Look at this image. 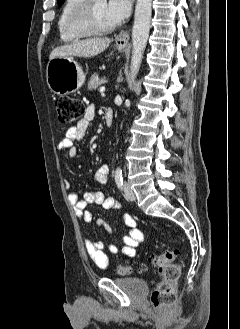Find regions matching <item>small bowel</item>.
<instances>
[{
    "label": "small bowel",
    "instance_id": "c3829d8e",
    "mask_svg": "<svg viewBox=\"0 0 240 329\" xmlns=\"http://www.w3.org/2000/svg\"><path fill=\"white\" fill-rule=\"evenodd\" d=\"M94 116L95 106L90 104L85 108L82 118L66 131L65 137L57 144V151H66L68 157L72 159L78 157V150L74 146V142L81 140L85 136L88 126ZM109 171L110 168L107 164L101 165L92 176V181L96 184H106ZM64 184L67 188L70 187V182L68 180H66ZM68 200L80 220L84 223H90L93 219L92 213L87 209L88 205H101L106 210H118L121 208V203L116 198L106 196L101 191L86 192L82 198H80L76 192H71L68 195ZM122 220L128 228V233L123 238L124 245L121 247V252L125 255V263H129L136 255V247L143 240V233L137 227L136 221L131 215L124 214ZM96 224L107 233H111V227L104 219H97ZM83 244L86 253L99 268H108L110 260L104 252L105 244L102 241H94L90 237H85L83 239ZM107 250L114 254L119 251V248L117 245L110 243L107 245Z\"/></svg>",
    "mask_w": 240,
    "mask_h": 329
}]
</instances>
